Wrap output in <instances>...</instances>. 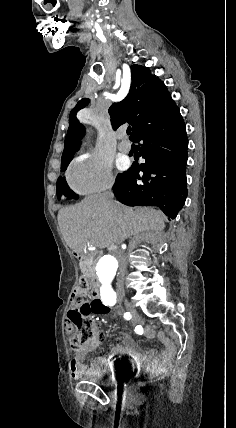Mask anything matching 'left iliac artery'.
Masks as SVG:
<instances>
[{"instance_id": "1", "label": "left iliac artery", "mask_w": 236, "mask_h": 428, "mask_svg": "<svg viewBox=\"0 0 236 428\" xmlns=\"http://www.w3.org/2000/svg\"><path fill=\"white\" fill-rule=\"evenodd\" d=\"M100 295L105 306H113L116 303V293L114 291H101Z\"/></svg>"}]
</instances>
